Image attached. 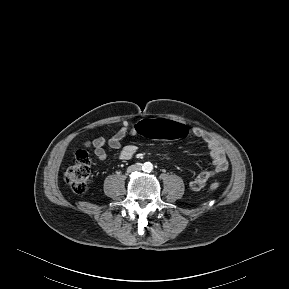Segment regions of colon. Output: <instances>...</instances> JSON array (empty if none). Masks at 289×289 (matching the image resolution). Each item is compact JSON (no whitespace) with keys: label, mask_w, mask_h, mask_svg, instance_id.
Here are the masks:
<instances>
[{"label":"colon","mask_w":289,"mask_h":289,"mask_svg":"<svg viewBox=\"0 0 289 289\" xmlns=\"http://www.w3.org/2000/svg\"><path fill=\"white\" fill-rule=\"evenodd\" d=\"M134 132L141 137H153L157 139H181L186 136L187 128L175 120L159 118H143L134 125ZM90 177V161L85 149L76 153L75 162L66 170L65 181L71 189L82 194L86 191ZM219 182L209 185L211 190H216Z\"/></svg>","instance_id":"5ec220e1"}]
</instances>
